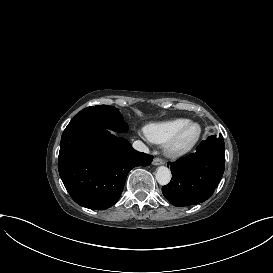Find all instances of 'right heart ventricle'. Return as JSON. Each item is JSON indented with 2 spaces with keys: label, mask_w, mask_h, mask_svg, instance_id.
<instances>
[{
  "label": "right heart ventricle",
  "mask_w": 273,
  "mask_h": 273,
  "mask_svg": "<svg viewBox=\"0 0 273 273\" xmlns=\"http://www.w3.org/2000/svg\"><path fill=\"white\" fill-rule=\"evenodd\" d=\"M189 121L187 118H177L166 122L149 124L145 128V136L153 143H168Z\"/></svg>",
  "instance_id": "e07e8e85"
}]
</instances>
